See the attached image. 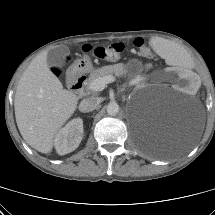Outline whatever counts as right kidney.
<instances>
[{"label": "right kidney", "instance_id": "ca27d5eb", "mask_svg": "<svg viewBox=\"0 0 215 215\" xmlns=\"http://www.w3.org/2000/svg\"><path fill=\"white\" fill-rule=\"evenodd\" d=\"M83 137V120L75 118L61 128L55 135L54 145L59 155L74 151Z\"/></svg>", "mask_w": 215, "mask_h": 215}]
</instances>
